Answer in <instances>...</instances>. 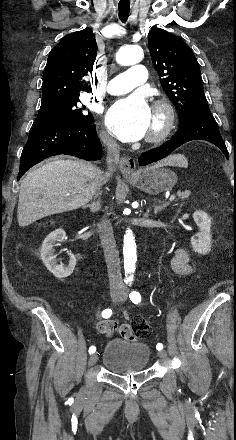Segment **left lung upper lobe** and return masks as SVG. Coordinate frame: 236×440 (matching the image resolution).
Listing matches in <instances>:
<instances>
[{
	"instance_id": "left-lung-upper-lobe-1",
	"label": "left lung upper lobe",
	"mask_w": 236,
	"mask_h": 440,
	"mask_svg": "<svg viewBox=\"0 0 236 440\" xmlns=\"http://www.w3.org/2000/svg\"><path fill=\"white\" fill-rule=\"evenodd\" d=\"M148 47L162 88L178 112L179 125L197 110L209 108L191 48L181 38L157 27L149 32Z\"/></svg>"
}]
</instances>
